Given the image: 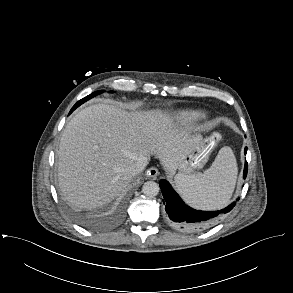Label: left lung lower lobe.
I'll return each mask as SVG.
<instances>
[{"label":"left lung lower lobe","mask_w":293,"mask_h":293,"mask_svg":"<svg viewBox=\"0 0 293 293\" xmlns=\"http://www.w3.org/2000/svg\"><path fill=\"white\" fill-rule=\"evenodd\" d=\"M247 148H245V154ZM247 176V162H245L244 175ZM160 188L164 197L165 210L169 223L176 229L194 232L204 230L215 224L222 214H226L233 209L235 202L228 207L214 212L198 211L186 205L172 186L165 179H161Z\"/></svg>","instance_id":"0a47b994"}]
</instances>
